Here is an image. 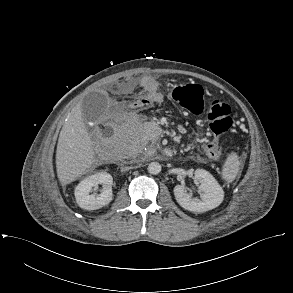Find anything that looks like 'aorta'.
Returning a JSON list of instances; mask_svg holds the SVG:
<instances>
[{
	"mask_svg": "<svg viewBox=\"0 0 293 293\" xmlns=\"http://www.w3.org/2000/svg\"><path fill=\"white\" fill-rule=\"evenodd\" d=\"M148 172L152 175H157L161 172V165L158 162H151L147 168Z\"/></svg>",
	"mask_w": 293,
	"mask_h": 293,
	"instance_id": "1",
	"label": "aorta"
}]
</instances>
